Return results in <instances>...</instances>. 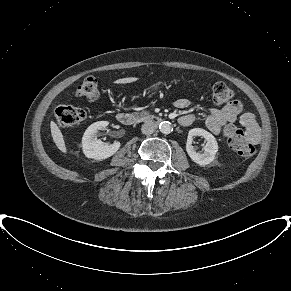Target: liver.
<instances>
[{"label": "liver", "mask_w": 291, "mask_h": 291, "mask_svg": "<svg viewBox=\"0 0 291 291\" xmlns=\"http://www.w3.org/2000/svg\"><path fill=\"white\" fill-rule=\"evenodd\" d=\"M137 80H138V78H136V77H127V78L118 79V80L114 81V83L127 84V83L135 82ZM50 128H51V135H52L53 141L56 144L57 148L61 152L66 153L67 149H66L65 141H64L63 134H62L61 130L59 129V127L57 126V124L54 121H51Z\"/></svg>", "instance_id": "liver-1"}]
</instances>
